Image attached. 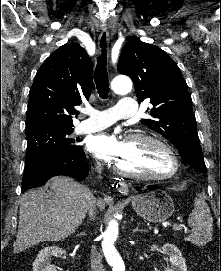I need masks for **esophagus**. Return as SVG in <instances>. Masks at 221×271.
<instances>
[{"instance_id": "esophagus-1", "label": "esophagus", "mask_w": 221, "mask_h": 271, "mask_svg": "<svg viewBox=\"0 0 221 271\" xmlns=\"http://www.w3.org/2000/svg\"><path fill=\"white\" fill-rule=\"evenodd\" d=\"M108 42H109V31L106 28H104L101 31L98 39V49L100 52L102 50H107ZM120 190H122L125 193H128V186L125 181L120 182Z\"/></svg>"}]
</instances>
